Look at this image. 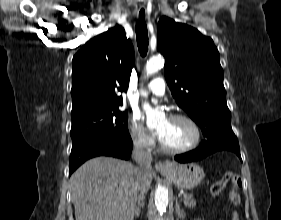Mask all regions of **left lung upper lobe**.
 I'll return each instance as SVG.
<instances>
[{"label": "left lung upper lobe", "mask_w": 281, "mask_h": 220, "mask_svg": "<svg viewBox=\"0 0 281 220\" xmlns=\"http://www.w3.org/2000/svg\"><path fill=\"white\" fill-rule=\"evenodd\" d=\"M157 50L165 57V78L173 97L207 141H238L231 128L223 69L213 40L164 16L158 23Z\"/></svg>", "instance_id": "5c2ea615"}]
</instances>
